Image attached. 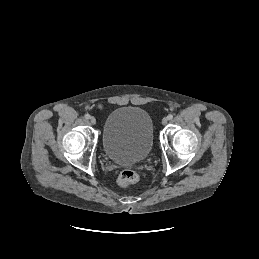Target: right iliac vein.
<instances>
[{"label": "right iliac vein", "instance_id": "obj_1", "mask_svg": "<svg viewBox=\"0 0 259 259\" xmlns=\"http://www.w3.org/2000/svg\"><path fill=\"white\" fill-rule=\"evenodd\" d=\"M90 123L93 124V125L96 124V119H95V117H93V116L90 117Z\"/></svg>", "mask_w": 259, "mask_h": 259}]
</instances>
